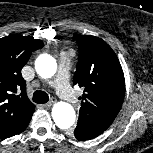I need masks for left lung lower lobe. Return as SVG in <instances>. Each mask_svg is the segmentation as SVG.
I'll use <instances>...</instances> for the list:
<instances>
[{
  "label": "left lung lower lobe",
  "instance_id": "0a47b994",
  "mask_svg": "<svg viewBox=\"0 0 153 153\" xmlns=\"http://www.w3.org/2000/svg\"><path fill=\"white\" fill-rule=\"evenodd\" d=\"M77 140H80V139H78V138H76ZM80 141H84V140H80Z\"/></svg>",
  "mask_w": 153,
  "mask_h": 153
}]
</instances>
